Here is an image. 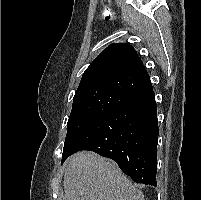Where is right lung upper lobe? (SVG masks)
<instances>
[{
    "mask_svg": "<svg viewBox=\"0 0 201 200\" xmlns=\"http://www.w3.org/2000/svg\"><path fill=\"white\" fill-rule=\"evenodd\" d=\"M151 89L150 77L135 49L128 43H117L89 65L75 94L105 90L132 99Z\"/></svg>",
    "mask_w": 201,
    "mask_h": 200,
    "instance_id": "1",
    "label": "right lung upper lobe"
}]
</instances>
